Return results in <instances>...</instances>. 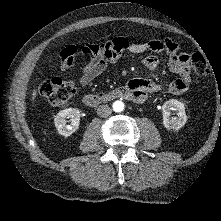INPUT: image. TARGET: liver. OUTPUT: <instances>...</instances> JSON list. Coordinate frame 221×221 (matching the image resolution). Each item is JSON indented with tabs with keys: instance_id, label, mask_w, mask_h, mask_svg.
Listing matches in <instances>:
<instances>
[{
	"instance_id": "6515ba94",
	"label": "liver",
	"mask_w": 221,
	"mask_h": 221,
	"mask_svg": "<svg viewBox=\"0 0 221 221\" xmlns=\"http://www.w3.org/2000/svg\"><path fill=\"white\" fill-rule=\"evenodd\" d=\"M36 95H37V91L34 89L32 92V100L36 98Z\"/></svg>"
}]
</instances>
